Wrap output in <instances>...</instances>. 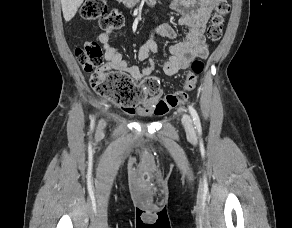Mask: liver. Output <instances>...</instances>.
<instances>
[{"instance_id":"6515ba94","label":"liver","mask_w":292,"mask_h":228,"mask_svg":"<svg viewBox=\"0 0 292 228\" xmlns=\"http://www.w3.org/2000/svg\"><path fill=\"white\" fill-rule=\"evenodd\" d=\"M84 0H61L64 19L68 22L76 14Z\"/></svg>"}]
</instances>
